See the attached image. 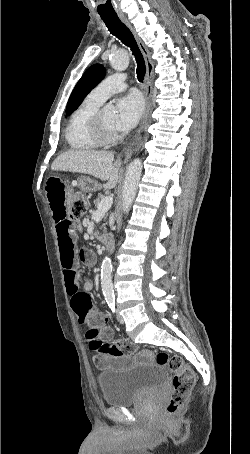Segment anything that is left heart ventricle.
I'll return each mask as SVG.
<instances>
[{"label": "left heart ventricle", "instance_id": "1", "mask_svg": "<svg viewBox=\"0 0 250 454\" xmlns=\"http://www.w3.org/2000/svg\"><path fill=\"white\" fill-rule=\"evenodd\" d=\"M101 118H102V122H103L104 126L107 129L115 130V126H114L115 115L113 112L102 111Z\"/></svg>", "mask_w": 250, "mask_h": 454}]
</instances>
